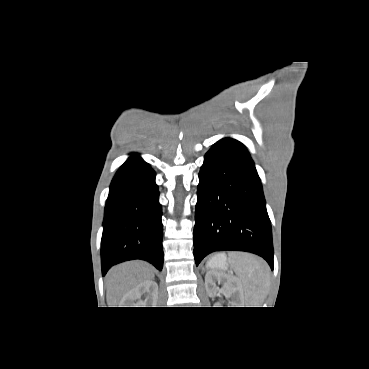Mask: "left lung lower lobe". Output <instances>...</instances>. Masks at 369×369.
Returning a JSON list of instances; mask_svg holds the SVG:
<instances>
[{"label":"left lung lower lobe","mask_w":369,"mask_h":369,"mask_svg":"<svg viewBox=\"0 0 369 369\" xmlns=\"http://www.w3.org/2000/svg\"><path fill=\"white\" fill-rule=\"evenodd\" d=\"M246 251L273 270L271 223L254 162L239 141L224 138L204 157L194 227L196 266L211 252Z\"/></svg>","instance_id":"obj_1"}]
</instances>
